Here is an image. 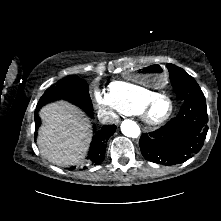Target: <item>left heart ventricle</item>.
Wrapping results in <instances>:
<instances>
[{
  "label": "left heart ventricle",
  "instance_id": "b2bd125f",
  "mask_svg": "<svg viewBox=\"0 0 221 221\" xmlns=\"http://www.w3.org/2000/svg\"><path fill=\"white\" fill-rule=\"evenodd\" d=\"M170 110V103L165 100L161 99L157 101L151 109V116L155 118H160L166 115Z\"/></svg>",
  "mask_w": 221,
  "mask_h": 221
}]
</instances>
